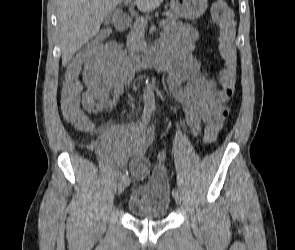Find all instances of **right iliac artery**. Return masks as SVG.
Returning <instances> with one entry per match:
<instances>
[{
  "mask_svg": "<svg viewBox=\"0 0 295 250\" xmlns=\"http://www.w3.org/2000/svg\"><path fill=\"white\" fill-rule=\"evenodd\" d=\"M150 117H151V111L149 109H144L142 119H141L142 124L146 125L149 122ZM126 175H127V172L125 170H123L120 173V178L122 179Z\"/></svg>",
  "mask_w": 295,
  "mask_h": 250,
  "instance_id": "1",
  "label": "right iliac artery"
}]
</instances>
